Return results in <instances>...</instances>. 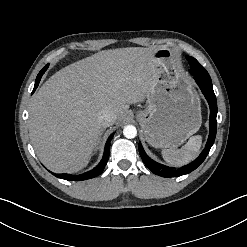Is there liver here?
<instances>
[{
  "label": "liver",
  "mask_w": 247,
  "mask_h": 247,
  "mask_svg": "<svg viewBox=\"0 0 247 247\" xmlns=\"http://www.w3.org/2000/svg\"><path fill=\"white\" fill-rule=\"evenodd\" d=\"M157 49L100 51L52 75L32 97L29 131L40 161L54 172H78L87 164L103 128V110L121 121L130 104L143 102L161 61Z\"/></svg>",
  "instance_id": "obj_1"
}]
</instances>
